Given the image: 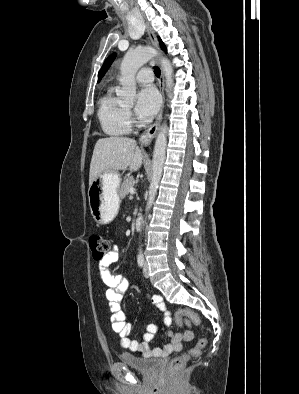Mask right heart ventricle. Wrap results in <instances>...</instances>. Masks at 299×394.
Masks as SVG:
<instances>
[{
    "instance_id": "e07e8e85",
    "label": "right heart ventricle",
    "mask_w": 299,
    "mask_h": 394,
    "mask_svg": "<svg viewBox=\"0 0 299 394\" xmlns=\"http://www.w3.org/2000/svg\"><path fill=\"white\" fill-rule=\"evenodd\" d=\"M98 118L105 134L122 136L130 131L127 108L115 94V87L107 89L99 101Z\"/></svg>"
}]
</instances>
